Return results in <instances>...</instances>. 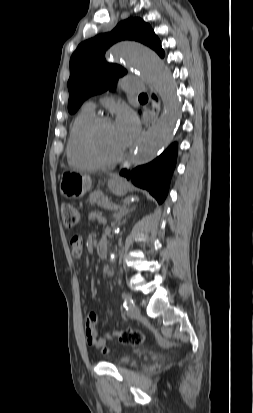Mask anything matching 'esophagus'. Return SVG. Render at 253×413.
I'll return each instance as SVG.
<instances>
[{"label": "esophagus", "instance_id": "34e87169", "mask_svg": "<svg viewBox=\"0 0 253 413\" xmlns=\"http://www.w3.org/2000/svg\"><path fill=\"white\" fill-rule=\"evenodd\" d=\"M150 92L153 93V89H152L151 87H150ZM151 107H152V118H151V120L145 125V127H144V129H143V131H142V134H144L146 131L150 130V129L152 128V126L154 125L156 119L158 118V115H159V112H160V106H159V104H158L155 100H152V101H151ZM136 145H137V144H135V145L133 146V148L131 149V151H130V156H129V158L123 163V167H128V166L131 165V163H132V161H133V158H134L133 151H134V148H135Z\"/></svg>", "mask_w": 253, "mask_h": 413}]
</instances>
